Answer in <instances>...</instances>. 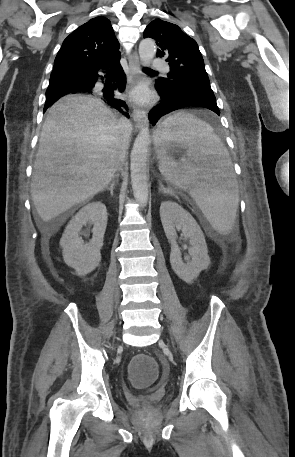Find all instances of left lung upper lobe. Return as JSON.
<instances>
[{"mask_svg":"<svg viewBox=\"0 0 295 457\" xmlns=\"http://www.w3.org/2000/svg\"><path fill=\"white\" fill-rule=\"evenodd\" d=\"M147 37L159 46L157 57H164L170 65L167 78L156 81L160 89L181 93L213 92L198 44L179 26L155 19L144 31V38Z\"/></svg>","mask_w":295,"mask_h":457,"instance_id":"obj_1","label":"left lung upper lobe"}]
</instances>
